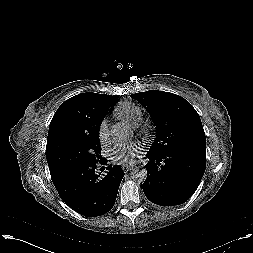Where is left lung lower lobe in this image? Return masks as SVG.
<instances>
[{"instance_id": "left-lung-lower-lobe-1", "label": "left lung lower lobe", "mask_w": 253, "mask_h": 253, "mask_svg": "<svg viewBox=\"0 0 253 253\" xmlns=\"http://www.w3.org/2000/svg\"><path fill=\"white\" fill-rule=\"evenodd\" d=\"M147 178L143 191L161 206L186 202L198 188L206 168V150L183 147L163 154L148 151Z\"/></svg>"}]
</instances>
